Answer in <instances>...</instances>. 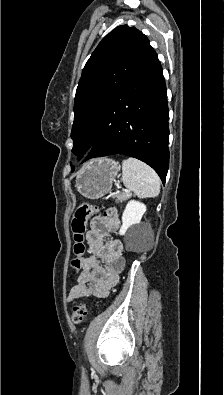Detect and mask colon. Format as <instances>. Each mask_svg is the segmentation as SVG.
I'll use <instances>...</instances> for the list:
<instances>
[{"instance_id": "1", "label": "colon", "mask_w": 224, "mask_h": 395, "mask_svg": "<svg viewBox=\"0 0 224 395\" xmlns=\"http://www.w3.org/2000/svg\"><path fill=\"white\" fill-rule=\"evenodd\" d=\"M98 212V208L89 203L80 204L75 212L71 222V229L74 239L75 258L71 261L73 269L78 270L81 267V257L85 253L84 233L88 219ZM88 304L86 300H82L75 305L71 312V320L75 324H80L88 318Z\"/></svg>"}]
</instances>
